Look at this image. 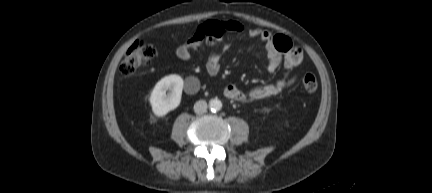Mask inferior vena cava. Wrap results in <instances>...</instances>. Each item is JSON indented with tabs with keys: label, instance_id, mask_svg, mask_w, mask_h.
Masks as SVG:
<instances>
[{
	"label": "inferior vena cava",
	"instance_id": "obj_1",
	"mask_svg": "<svg viewBox=\"0 0 432 193\" xmlns=\"http://www.w3.org/2000/svg\"><path fill=\"white\" fill-rule=\"evenodd\" d=\"M207 110V102L205 100H199L194 104V111L197 114H202Z\"/></svg>",
	"mask_w": 432,
	"mask_h": 193
}]
</instances>
